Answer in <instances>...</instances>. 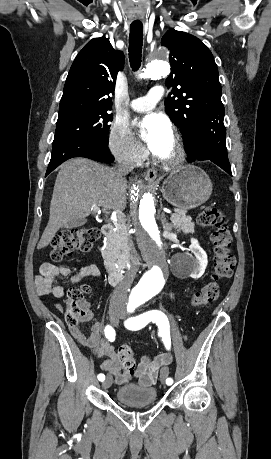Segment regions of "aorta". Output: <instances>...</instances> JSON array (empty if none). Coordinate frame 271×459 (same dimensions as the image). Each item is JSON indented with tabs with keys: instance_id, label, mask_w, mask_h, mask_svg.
I'll use <instances>...</instances> for the list:
<instances>
[{
	"instance_id": "obj_1",
	"label": "aorta",
	"mask_w": 271,
	"mask_h": 459,
	"mask_svg": "<svg viewBox=\"0 0 271 459\" xmlns=\"http://www.w3.org/2000/svg\"><path fill=\"white\" fill-rule=\"evenodd\" d=\"M161 57L168 54L166 49L159 52ZM170 67L163 59L149 62L141 78L157 80L169 74ZM130 215L141 255L148 265L137 288L148 296L158 294L165 285L168 269L166 245L157 224L156 204L151 192L146 191L141 182L133 185L130 199Z\"/></svg>"
}]
</instances>
